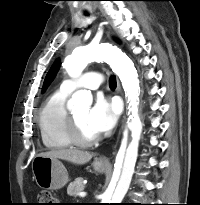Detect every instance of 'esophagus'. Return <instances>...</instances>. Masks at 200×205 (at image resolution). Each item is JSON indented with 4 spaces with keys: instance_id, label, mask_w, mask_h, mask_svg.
I'll return each mask as SVG.
<instances>
[{
    "instance_id": "esophagus-1",
    "label": "esophagus",
    "mask_w": 200,
    "mask_h": 205,
    "mask_svg": "<svg viewBox=\"0 0 200 205\" xmlns=\"http://www.w3.org/2000/svg\"><path fill=\"white\" fill-rule=\"evenodd\" d=\"M117 84H118V89H119L120 92H121V87H120L119 81H117ZM124 118H125V117L123 116L122 126H121V129H120V132H121V130L123 129ZM120 132H119V133H120ZM99 162H101V163H108V162H109V159H108L107 157H100V158H99Z\"/></svg>"
}]
</instances>
